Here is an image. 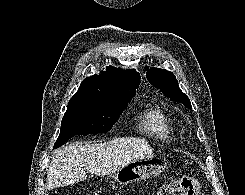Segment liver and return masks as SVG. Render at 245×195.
<instances>
[{
  "label": "liver",
  "mask_w": 245,
  "mask_h": 195,
  "mask_svg": "<svg viewBox=\"0 0 245 195\" xmlns=\"http://www.w3.org/2000/svg\"><path fill=\"white\" fill-rule=\"evenodd\" d=\"M153 149L145 139L125 137L104 143H73L56 152L47 172L48 190L78 183L89 173L105 176L117 172L127 164L151 158Z\"/></svg>",
  "instance_id": "6515ba94"
}]
</instances>
